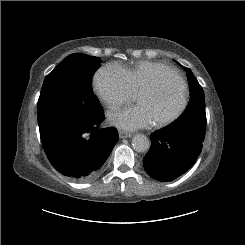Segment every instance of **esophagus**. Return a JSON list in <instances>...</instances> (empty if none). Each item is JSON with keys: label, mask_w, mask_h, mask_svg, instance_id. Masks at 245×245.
<instances>
[{"label": "esophagus", "mask_w": 245, "mask_h": 245, "mask_svg": "<svg viewBox=\"0 0 245 245\" xmlns=\"http://www.w3.org/2000/svg\"><path fill=\"white\" fill-rule=\"evenodd\" d=\"M131 136H132V133L125 132V131H119V137L120 138H128V137H131Z\"/></svg>", "instance_id": "esophagus-1"}]
</instances>
